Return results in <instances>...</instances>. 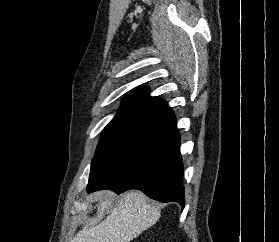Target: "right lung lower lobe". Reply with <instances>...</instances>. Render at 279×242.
<instances>
[{
  "instance_id": "98d812e1",
  "label": "right lung lower lobe",
  "mask_w": 279,
  "mask_h": 242,
  "mask_svg": "<svg viewBox=\"0 0 279 242\" xmlns=\"http://www.w3.org/2000/svg\"><path fill=\"white\" fill-rule=\"evenodd\" d=\"M157 133L100 180H90L87 191L111 189L122 193L138 189L160 202H178L184 208L180 134L173 112L162 117Z\"/></svg>"
}]
</instances>
